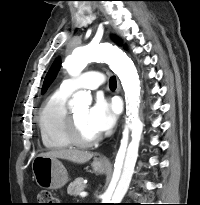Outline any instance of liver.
<instances>
[{"label":"liver","mask_w":200,"mask_h":205,"mask_svg":"<svg viewBox=\"0 0 200 205\" xmlns=\"http://www.w3.org/2000/svg\"><path fill=\"white\" fill-rule=\"evenodd\" d=\"M40 155L51 158H61L78 164L86 163L93 157V154L89 152H84L76 149L52 150L49 152L41 153Z\"/></svg>","instance_id":"liver-1"}]
</instances>
